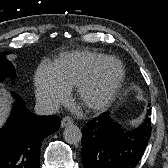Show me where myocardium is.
Masks as SVG:
<instances>
[{"label":"myocardium","mask_w":168,"mask_h":168,"mask_svg":"<svg viewBox=\"0 0 168 168\" xmlns=\"http://www.w3.org/2000/svg\"><path fill=\"white\" fill-rule=\"evenodd\" d=\"M116 67V75L106 86L104 91L97 98L90 96V91L99 82L103 71L108 65ZM125 77L124 66L120 60L115 57H106L97 64L88 76L77 86L78 102L90 112H100L105 110L115 99Z\"/></svg>","instance_id":"obj_1"}]
</instances>
